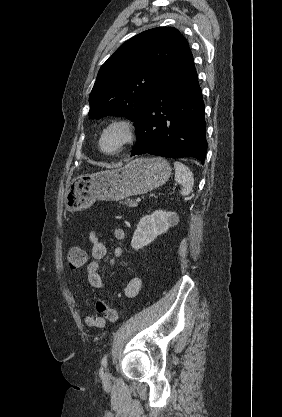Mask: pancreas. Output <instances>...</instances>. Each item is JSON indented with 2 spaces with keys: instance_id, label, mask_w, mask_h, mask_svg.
<instances>
[{
  "instance_id": "pancreas-1",
  "label": "pancreas",
  "mask_w": 282,
  "mask_h": 417,
  "mask_svg": "<svg viewBox=\"0 0 282 417\" xmlns=\"http://www.w3.org/2000/svg\"><path fill=\"white\" fill-rule=\"evenodd\" d=\"M121 204H128V206H137L136 200L134 198H127V200H120Z\"/></svg>"
}]
</instances>
